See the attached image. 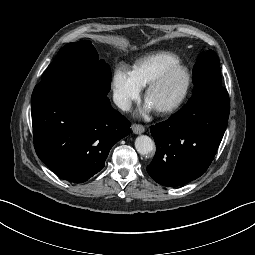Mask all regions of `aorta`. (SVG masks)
<instances>
[{
    "mask_svg": "<svg viewBox=\"0 0 255 255\" xmlns=\"http://www.w3.org/2000/svg\"><path fill=\"white\" fill-rule=\"evenodd\" d=\"M135 148L139 154L148 155L154 152L155 145L149 136L140 135L136 138Z\"/></svg>",
    "mask_w": 255,
    "mask_h": 255,
    "instance_id": "1",
    "label": "aorta"
}]
</instances>
